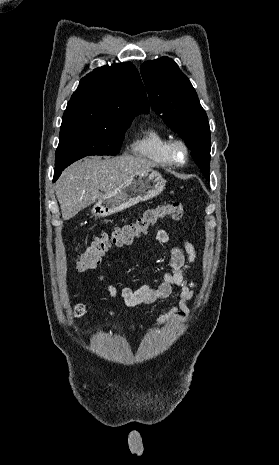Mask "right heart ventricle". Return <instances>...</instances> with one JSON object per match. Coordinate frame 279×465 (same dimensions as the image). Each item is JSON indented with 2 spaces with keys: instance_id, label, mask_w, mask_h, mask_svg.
<instances>
[{
  "instance_id": "obj_1",
  "label": "right heart ventricle",
  "mask_w": 279,
  "mask_h": 465,
  "mask_svg": "<svg viewBox=\"0 0 279 465\" xmlns=\"http://www.w3.org/2000/svg\"><path fill=\"white\" fill-rule=\"evenodd\" d=\"M169 140L168 134L159 126L149 125L143 130L141 136L132 143L131 151L160 165L171 166L173 163L167 152Z\"/></svg>"
}]
</instances>
